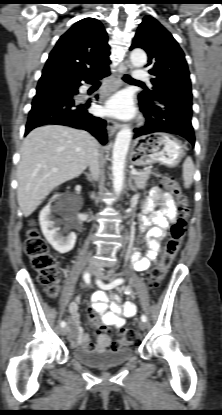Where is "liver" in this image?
I'll return each mask as SVG.
<instances>
[{
	"label": "liver",
	"mask_w": 222,
	"mask_h": 415,
	"mask_svg": "<svg viewBox=\"0 0 222 415\" xmlns=\"http://www.w3.org/2000/svg\"><path fill=\"white\" fill-rule=\"evenodd\" d=\"M97 140L84 130L46 125L23 141L17 168V200L25 217L57 186L78 177L89 165Z\"/></svg>",
	"instance_id": "1"
}]
</instances>
